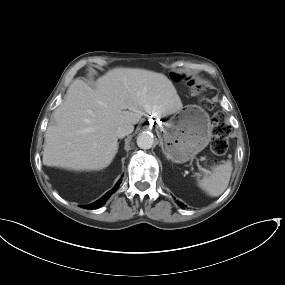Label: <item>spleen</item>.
<instances>
[{"instance_id":"3e777b00","label":"spleen","mask_w":285,"mask_h":285,"mask_svg":"<svg viewBox=\"0 0 285 285\" xmlns=\"http://www.w3.org/2000/svg\"><path fill=\"white\" fill-rule=\"evenodd\" d=\"M232 172V162L215 166L209 175L199 182V186L211 197L220 196L227 188Z\"/></svg>"}]
</instances>
